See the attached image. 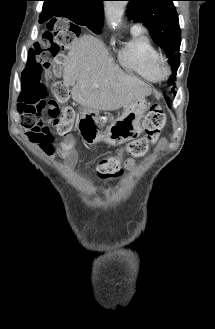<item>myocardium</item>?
<instances>
[{
  "mask_svg": "<svg viewBox=\"0 0 215 329\" xmlns=\"http://www.w3.org/2000/svg\"><path fill=\"white\" fill-rule=\"evenodd\" d=\"M156 69L161 79L171 74V68L168 59L164 55H160L156 61Z\"/></svg>",
  "mask_w": 215,
  "mask_h": 329,
  "instance_id": "myocardium-1",
  "label": "myocardium"
}]
</instances>
